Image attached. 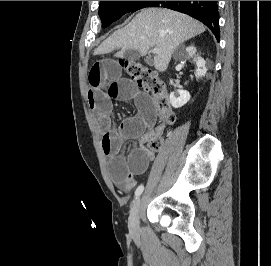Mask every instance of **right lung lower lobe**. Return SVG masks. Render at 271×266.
I'll use <instances>...</instances> for the list:
<instances>
[{
  "instance_id": "98d812e1",
  "label": "right lung lower lobe",
  "mask_w": 271,
  "mask_h": 266,
  "mask_svg": "<svg viewBox=\"0 0 271 266\" xmlns=\"http://www.w3.org/2000/svg\"><path fill=\"white\" fill-rule=\"evenodd\" d=\"M149 7H164L188 14L204 23L220 40L217 1H154Z\"/></svg>"
}]
</instances>
